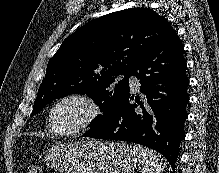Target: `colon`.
<instances>
[{"label":"colon","mask_w":219,"mask_h":173,"mask_svg":"<svg viewBox=\"0 0 219 173\" xmlns=\"http://www.w3.org/2000/svg\"><path fill=\"white\" fill-rule=\"evenodd\" d=\"M27 173H41V169H40V167L38 165H31L28 168Z\"/></svg>","instance_id":"1"}]
</instances>
